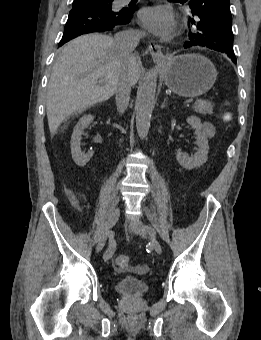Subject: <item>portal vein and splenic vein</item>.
<instances>
[{
  "label": "portal vein and splenic vein",
  "mask_w": 261,
  "mask_h": 340,
  "mask_svg": "<svg viewBox=\"0 0 261 340\" xmlns=\"http://www.w3.org/2000/svg\"><path fill=\"white\" fill-rule=\"evenodd\" d=\"M194 102V98H190V99H187L184 101V104L187 105V104H190V103H193Z\"/></svg>",
  "instance_id": "1"
}]
</instances>
